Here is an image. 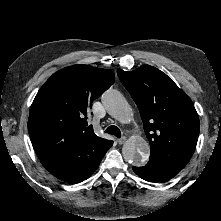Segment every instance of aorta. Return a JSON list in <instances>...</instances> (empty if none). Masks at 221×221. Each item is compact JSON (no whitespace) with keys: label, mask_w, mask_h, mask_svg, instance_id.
I'll use <instances>...</instances> for the list:
<instances>
[{"label":"aorta","mask_w":221,"mask_h":221,"mask_svg":"<svg viewBox=\"0 0 221 221\" xmlns=\"http://www.w3.org/2000/svg\"><path fill=\"white\" fill-rule=\"evenodd\" d=\"M101 100L114 119L122 124H127L131 120V106L119 91L108 89L102 94ZM149 153V143L143 138H130L122 147L124 159L135 166L143 165L147 161Z\"/></svg>","instance_id":"1"}]
</instances>
